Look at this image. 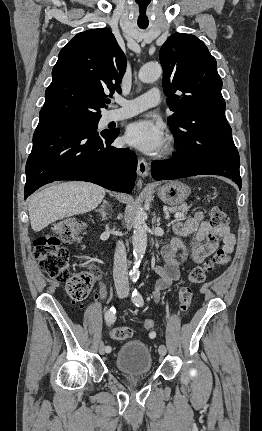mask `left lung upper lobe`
Here are the masks:
<instances>
[{
  "mask_svg": "<svg viewBox=\"0 0 262 431\" xmlns=\"http://www.w3.org/2000/svg\"><path fill=\"white\" fill-rule=\"evenodd\" d=\"M163 88L174 112L168 125L175 135L178 154L207 159L235 147L225 117L222 80L217 63L196 36L175 33L160 49Z\"/></svg>",
  "mask_w": 262,
  "mask_h": 431,
  "instance_id": "1",
  "label": "left lung upper lobe"
}]
</instances>
